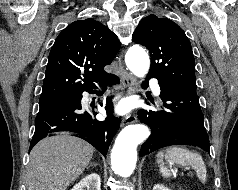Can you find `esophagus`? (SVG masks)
Returning a JSON list of instances; mask_svg holds the SVG:
<instances>
[{
	"instance_id": "1",
	"label": "esophagus",
	"mask_w": 238,
	"mask_h": 190,
	"mask_svg": "<svg viewBox=\"0 0 238 190\" xmlns=\"http://www.w3.org/2000/svg\"><path fill=\"white\" fill-rule=\"evenodd\" d=\"M119 69L121 71V81L122 84L127 88L128 92H131L134 90V87L136 85V80L134 77L123 67L121 57H117ZM137 120L135 115H127L122 123H134Z\"/></svg>"
}]
</instances>
